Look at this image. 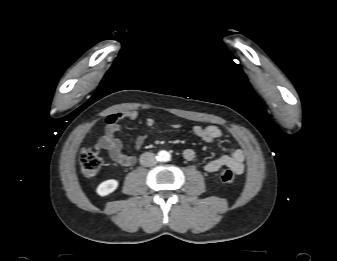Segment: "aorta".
<instances>
[{"mask_svg": "<svg viewBox=\"0 0 337 261\" xmlns=\"http://www.w3.org/2000/svg\"><path fill=\"white\" fill-rule=\"evenodd\" d=\"M159 158L161 161H169L170 160V154L167 151H160L159 152Z\"/></svg>", "mask_w": 337, "mask_h": 261, "instance_id": "762f6f07", "label": "aorta"}]
</instances>
